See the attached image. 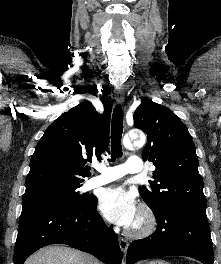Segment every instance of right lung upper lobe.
Masks as SVG:
<instances>
[{
	"label": "right lung upper lobe",
	"mask_w": 221,
	"mask_h": 264,
	"mask_svg": "<svg viewBox=\"0 0 221 264\" xmlns=\"http://www.w3.org/2000/svg\"><path fill=\"white\" fill-rule=\"evenodd\" d=\"M111 103L100 114L88 102L63 113L45 131L30 161L26 189L54 182L82 183L85 164L101 159L109 145Z\"/></svg>",
	"instance_id": "obj_1"
}]
</instances>
